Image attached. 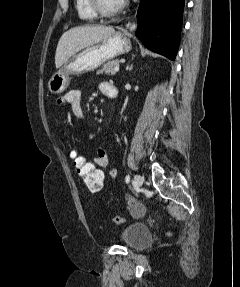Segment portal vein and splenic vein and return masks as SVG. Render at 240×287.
Listing matches in <instances>:
<instances>
[{
    "label": "portal vein and splenic vein",
    "instance_id": "1",
    "mask_svg": "<svg viewBox=\"0 0 240 287\" xmlns=\"http://www.w3.org/2000/svg\"><path fill=\"white\" fill-rule=\"evenodd\" d=\"M114 71H115V72H118V71H119V66H115V67H114Z\"/></svg>",
    "mask_w": 240,
    "mask_h": 287
}]
</instances>
